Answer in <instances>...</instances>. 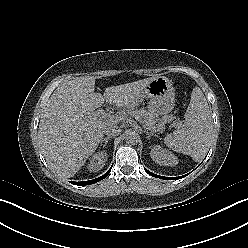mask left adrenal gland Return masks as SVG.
I'll list each match as a JSON object with an SVG mask.
<instances>
[{
	"label": "left adrenal gland",
	"instance_id": "a2214340",
	"mask_svg": "<svg viewBox=\"0 0 248 248\" xmlns=\"http://www.w3.org/2000/svg\"><path fill=\"white\" fill-rule=\"evenodd\" d=\"M144 133H146V138H147V140H150V138H151L152 136H157L156 134L150 133V132H148V131H146V130H144Z\"/></svg>",
	"mask_w": 248,
	"mask_h": 248
}]
</instances>
